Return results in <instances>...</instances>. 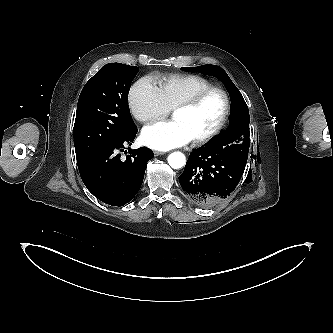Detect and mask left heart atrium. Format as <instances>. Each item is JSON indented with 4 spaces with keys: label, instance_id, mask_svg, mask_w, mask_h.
I'll return each mask as SVG.
<instances>
[{
    "label": "left heart atrium",
    "instance_id": "left-heart-atrium-1",
    "mask_svg": "<svg viewBox=\"0 0 333 333\" xmlns=\"http://www.w3.org/2000/svg\"><path fill=\"white\" fill-rule=\"evenodd\" d=\"M141 139L146 146L161 151L181 147L192 141L183 125L175 120L144 127Z\"/></svg>",
    "mask_w": 333,
    "mask_h": 333
}]
</instances>
